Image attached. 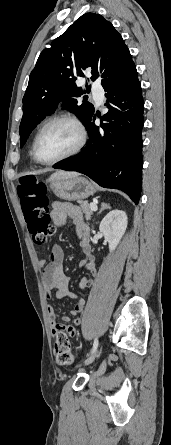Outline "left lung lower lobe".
<instances>
[{
	"instance_id": "left-lung-lower-lobe-1",
	"label": "left lung lower lobe",
	"mask_w": 171,
	"mask_h": 445,
	"mask_svg": "<svg viewBox=\"0 0 171 445\" xmlns=\"http://www.w3.org/2000/svg\"><path fill=\"white\" fill-rule=\"evenodd\" d=\"M103 88L109 111L100 127L94 124L93 114L85 123L89 142L79 154L54 168L83 173L102 187L124 191L137 204L142 185L144 102L134 63L111 76Z\"/></svg>"
}]
</instances>
